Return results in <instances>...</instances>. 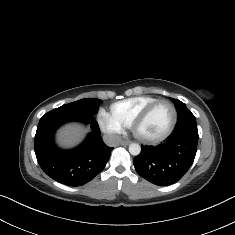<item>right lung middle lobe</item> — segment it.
Segmentation results:
<instances>
[{
	"label": "right lung middle lobe",
	"mask_w": 235,
	"mask_h": 235,
	"mask_svg": "<svg viewBox=\"0 0 235 235\" xmlns=\"http://www.w3.org/2000/svg\"><path fill=\"white\" fill-rule=\"evenodd\" d=\"M100 99L86 98L81 99L66 105H62L56 108V111L69 115V114H82V115H94L98 111V107L101 104Z\"/></svg>",
	"instance_id": "dd1d6c3e"
}]
</instances>
